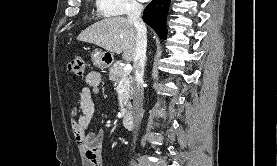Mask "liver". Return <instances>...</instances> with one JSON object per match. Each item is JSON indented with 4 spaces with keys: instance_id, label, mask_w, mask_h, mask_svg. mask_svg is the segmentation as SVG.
<instances>
[{
    "instance_id": "6515ba94",
    "label": "liver",
    "mask_w": 277,
    "mask_h": 166,
    "mask_svg": "<svg viewBox=\"0 0 277 166\" xmlns=\"http://www.w3.org/2000/svg\"><path fill=\"white\" fill-rule=\"evenodd\" d=\"M77 40L92 43L110 53L120 54L126 61L134 59L137 30L126 17H110L83 30Z\"/></svg>"
}]
</instances>
